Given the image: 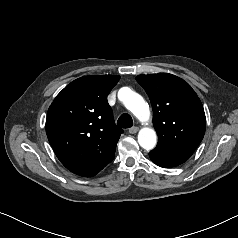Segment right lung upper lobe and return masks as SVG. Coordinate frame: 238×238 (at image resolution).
Returning a JSON list of instances; mask_svg holds the SVG:
<instances>
[{
    "mask_svg": "<svg viewBox=\"0 0 238 238\" xmlns=\"http://www.w3.org/2000/svg\"><path fill=\"white\" fill-rule=\"evenodd\" d=\"M119 79L118 75L78 78L48 109V140L60 162L77 175L94 176L114 159L123 130L115 125L107 96Z\"/></svg>",
    "mask_w": 238,
    "mask_h": 238,
    "instance_id": "cb5924a9",
    "label": "right lung upper lobe"
}]
</instances>
